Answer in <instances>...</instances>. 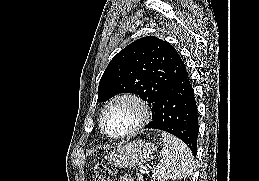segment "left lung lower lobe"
<instances>
[{
  "label": "left lung lower lobe",
  "mask_w": 259,
  "mask_h": 181,
  "mask_svg": "<svg viewBox=\"0 0 259 181\" xmlns=\"http://www.w3.org/2000/svg\"><path fill=\"white\" fill-rule=\"evenodd\" d=\"M145 128L169 132L197 152L198 114L194 90L184 62L178 78L162 95L152 122Z\"/></svg>",
  "instance_id": "obj_1"
}]
</instances>
